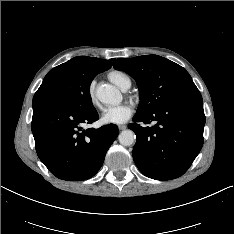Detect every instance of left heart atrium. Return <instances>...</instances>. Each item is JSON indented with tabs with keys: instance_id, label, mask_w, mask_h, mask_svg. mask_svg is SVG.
<instances>
[{
	"instance_id": "39dd6f15",
	"label": "left heart atrium",
	"mask_w": 234,
	"mask_h": 234,
	"mask_svg": "<svg viewBox=\"0 0 234 234\" xmlns=\"http://www.w3.org/2000/svg\"><path fill=\"white\" fill-rule=\"evenodd\" d=\"M133 114V108L127 103L110 107L102 115V121L106 124H123L127 122Z\"/></svg>"
}]
</instances>
